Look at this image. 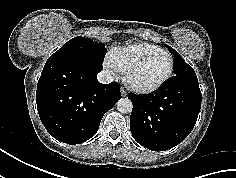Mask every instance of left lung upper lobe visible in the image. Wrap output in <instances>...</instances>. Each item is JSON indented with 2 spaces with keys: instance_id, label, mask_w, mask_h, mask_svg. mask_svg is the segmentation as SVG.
<instances>
[{
  "instance_id": "5c2ea615",
  "label": "left lung upper lobe",
  "mask_w": 236,
  "mask_h": 178,
  "mask_svg": "<svg viewBox=\"0 0 236 178\" xmlns=\"http://www.w3.org/2000/svg\"><path fill=\"white\" fill-rule=\"evenodd\" d=\"M171 53L174 54V74L178 77H197L193 68L188 65L179 53L172 47L167 46Z\"/></svg>"
}]
</instances>
